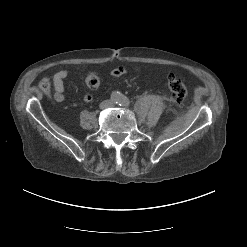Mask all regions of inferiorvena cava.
Instances as JSON below:
<instances>
[{"mask_svg": "<svg viewBox=\"0 0 247 247\" xmlns=\"http://www.w3.org/2000/svg\"><path fill=\"white\" fill-rule=\"evenodd\" d=\"M108 106H110V102L109 101H103L100 104V108H106Z\"/></svg>", "mask_w": 247, "mask_h": 247, "instance_id": "1", "label": "inferior vena cava"}]
</instances>
